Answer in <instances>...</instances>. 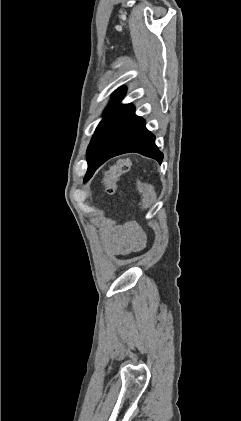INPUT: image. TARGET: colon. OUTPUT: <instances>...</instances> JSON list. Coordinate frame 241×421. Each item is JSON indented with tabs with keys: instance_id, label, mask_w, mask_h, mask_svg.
<instances>
[{
	"instance_id": "colon-1",
	"label": "colon",
	"mask_w": 241,
	"mask_h": 421,
	"mask_svg": "<svg viewBox=\"0 0 241 421\" xmlns=\"http://www.w3.org/2000/svg\"><path fill=\"white\" fill-rule=\"evenodd\" d=\"M131 165L132 161L127 158L118 160L116 164L110 168L104 179L105 188L108 193L113 194L116 192L120 177L129 171ZM138 187L142 193L144 206L150 207L155 200L152 188L143 182H139Z\"/></svg>"
}]
</instances>
